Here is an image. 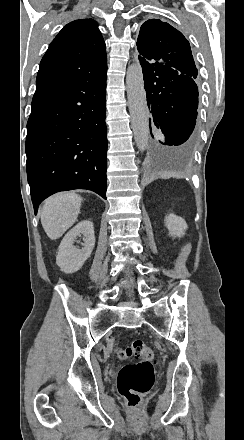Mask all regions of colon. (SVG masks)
Masks as SVG:
<instances>
[{"mask_svg": "<svg viewBox=\"0 0 244 440\" xmlns=\"http://www.w3.org/2000/svg\"><path fill=\"white\" fill-rule=\"evenodd\" d=\"M113 353L121 360L134 357L137 363L122 367L118 377L119 393L128 403L129 410H138L142 396L154 384V352L142 340H134L125 349L113 347Z\"/></svg>", "mask_w": 244, "mask_h": 440, "instance_id": "colon-1", "label": "colon"}]
</instances>
